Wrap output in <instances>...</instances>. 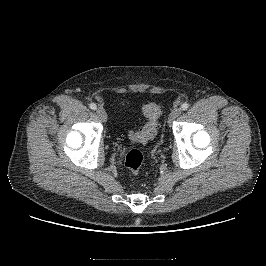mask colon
Wrapping results in <instances>:
<instances>
[{
	"mask_svg": "<svg viewBox=\"0 0 266 266\" xmlns=\"http://www.w3.org/2000/svg\"><path fill=\"white\" fill-rule=\"evenodd\" d=\"M142 112L147 119L146 124L130 135L131 139L137 143H146L155 137L159 128L158 118L161 114V108L156 103H148L143 107ZM142 163L143 155L140 150L132 149L127 153L125 166L132 175L139 174Z\"/></svg>",
	"mask_w": 266,
	"mask_h": 266,
	"instance_id": "1",
	"label": "colon"
}]
</instances>
